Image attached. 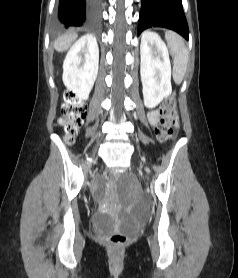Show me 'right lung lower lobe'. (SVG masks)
I'll list each match as a JSON object with an SVG mask.
<instances>
[{
	"mask_svg": "<svg viewBox=\"0 0 238 278\" xmlns=\"http://www.w3.org/2000/svg\"><path fill=\"white\" fill-rule=\"evenodd\" d=\"M101 0H60L58 18L63 28L92 26L98 22Z\"/></svg>",
	"mask_w": 238,
	"mask_h": 278,
	"instance_id": "right-lung-lower-lobe-1",
	"label": "right lung lower lobe"
}]
</instances>
